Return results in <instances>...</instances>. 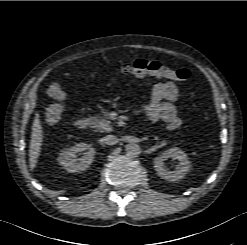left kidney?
Returning <instances> with one entry per match:
<instances>
[{"mask_svg": "<svg viewBox=\"0 0 247 245\" xmlns=\"http://www.w3.org/2000/svg\"><path fill=\"white\" fill-rule=\"evenodd\" d=\"M168 158L178 160L174 171L167 169L164 165V161ZM154 167L161 178L173 182L185 177L190 171L191 163L184 151L178 147H172L154 159Z\"/></svg>", "mask_w": 247, "mask_h": 245, "instance_id": "1", "label": "left kidney"}]
</instances>
